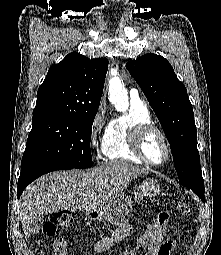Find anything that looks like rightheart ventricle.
Masks as SVG:
<instances>
[{
	"label": "right heart ventricle",
	"instance_id": "1",
	"mask_svg": "<svg viewBox=\"0 0 221 255\" xmlns=\"http://www.w3.org/2000/svg\"><path fill=\"white\" fill-rule=\"evenodd\" d=\"M152 123L149 109L143 103L131 101L127 112L110 120L102 142V153L108 160L143 164L130 145V133L137 124Z\"/></svg>",
	"mask_w": 221,
	"mask_h": 255
}]
</instances>
